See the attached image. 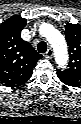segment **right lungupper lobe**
Wrapping results in <instances>:
<instances>
[{
  "instance_id": "right-lung-upper-lobe-1",
  "label": "right lung upper lobe",
  "mask_w": 81,
  "mask_h": 124,
  "mask_svg": "<svg viewBox=\"0 0 81 124\" xmlns=\"http://www.w3.org/2000/svg\"><path fill=\"white\" fill-rule=\"evenodd\" d=\"M25 25L26 19L20 15H14L0 25V83L12 88L27 82L42 58L21 38Z\"/></svg>"
}]
</instances>
